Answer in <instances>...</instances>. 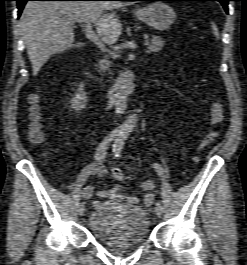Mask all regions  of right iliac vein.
<instances>
[{"instance_id": "63e3f726", "label": "right iliac vein", "mask_w": 247, "mask_h": 265, "mask_svg": "<svg viewBox=\"0 0 247 265\" xmlns=\"http://www.w3.org/2000/svg\"><path fill=\"white\" fill-rule=\"evenodd\" d=\"M85 212V203H80L78 206V214L82 215Z\"/></svg>"}]
</instances>
